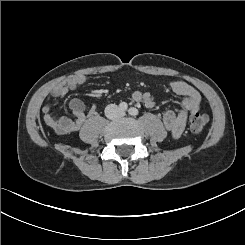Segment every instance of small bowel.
Instances as JSON below:
<instances>
[{
	"label": "small bowel",
	"mask_w": 245,
	"mask_h": 245,
	"mask_svg": "<svg viewBox=\"0 0 245 245\" xmlns=\"http://www.w3.org/2000/svg\"><path fill=\"white\" fill-rule=\"evenodd\" d=\"M85 82L82 75L72 76L55 86L49 93L48 99L63 98L69 91L76 90ZM169 88L175 94L182 96L183 100L177 112L168 110L163 114V125L174 138L182 134L189 115L198 111L201 105V96L199 92L190 84L184 81H172ZM132 99L135 102L144 104L147 108L155 106L153 96L148 92L135 91L132 93ZM69 108L74 115V119L68 117H57L51 109L50 104H45L42 108L43 119L46 125L52 128L58 135L68 134L77 131L88 115H95L98 105L94 104L87 110L85 104L79 99H72L69 102Z\"/></svg>",
	"instance_id": "obj_1"
}]
</instances>
